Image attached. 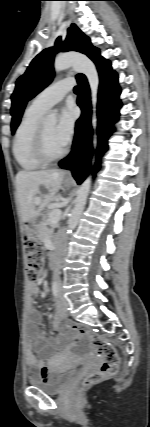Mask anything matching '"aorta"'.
Segmentation results:
<instances>
[{
  "label": "aorta",
  "instance_id": "aorta-1",
  "mask_svg": "<svg viewBox=\"0 0 150 427\" xmlns=\"http://www.w3.org/2000/svg\"><path fill=\"white\" fill-rule=\"evenodd\" d=\"M72 67L76 72L82 73L87 77L90 91H91V103H92V127H93V148L94 151L97 148V96L99 88V76L94 63L85 55L80 53H67L58 55L54 62L55 72H61ZM45 126L52 127L57 123V117L55 113L48 114L43 120ZM95 163V153L92 158V166ZM91 186V175H89L84 182L80 185L77 191V197L75 199V205L72 213L68 220V229L73 230L77 226L80 217L83 213L86 199Z\"/></svg>",
  "mask_w": 150,
  "mask_h": 427
}]
</instances>
